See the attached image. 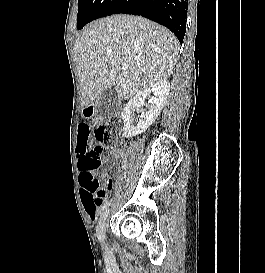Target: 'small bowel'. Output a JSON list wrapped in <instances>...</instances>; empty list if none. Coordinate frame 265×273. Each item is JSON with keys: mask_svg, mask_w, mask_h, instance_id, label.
<instances>
[{"mask_svg": "<svg viewBox=\"0 0 265 273\" xmlns=\"http://www.w3.org/2000/svg\"><path fill=\"white\" fill-rule=\"evenodd\" d=\"M87 113H90V110H87ZM84 119H91L92 115L91 114H84L83 115ZM96 125L95 124H78V129H95ZM113 154L116 158H119L122 156V151L120 150H114ZM79 161H80V156L78 155V166H79ZM106 181L111 182L112 186V179H107ZM106 199V192L105 195H95L89 192H83V208L86 212V214L91 218L94 219L96 217V212L103 203L105 202Z\"/></svg>", "mask_w": 265, "mask_h": 273, "instance_id": "obj_1", "label": "small bowel"}]
</instances>
